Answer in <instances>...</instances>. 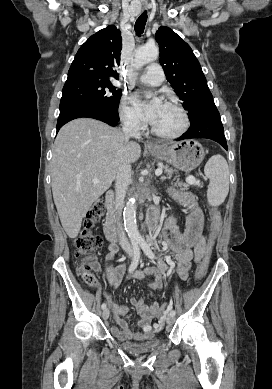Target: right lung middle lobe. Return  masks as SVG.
Here are the masks:
<instances>
[{
  "instance_id": "1",
  "label": "right lung middle lobe",
  "mask_w": 272,
  "mask_h": 389,
  "mask_svg": "<svg viewBox=\"0 0 272 389\" xmlns=\"http://www.w3.org/2000/svg\"><path fill=\"white\" fill-rule=\"evenodd\" d=\"M122 91L116 89L107 80H85L65 84L62 90L63 99H86L97 102L109 109L118 110Z\"/></svg>"
}]
</instances>
